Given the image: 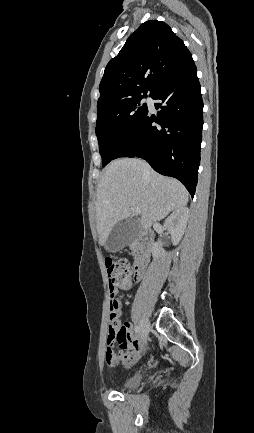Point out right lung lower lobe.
<instances>
[{
  "mask_svg": "<svg viewBox=\"0 0 254 433\" xmlns=\"http://www.w3.org/2000/svg\"><path fill=\"white\" fill-rule=\"evenodd\" d=\"M152 98L161 100L154 104L161 110L157 116L147 112L113 159L141 157L158 173L181 181L193 198L203 127V102L193 59L165 81Z\"/></svg>",
  "mask_w": 254,
  "mask_h": 433,
  "instance_id": "1",
  "label": "right lung lower lobe"
}]
</instances>
